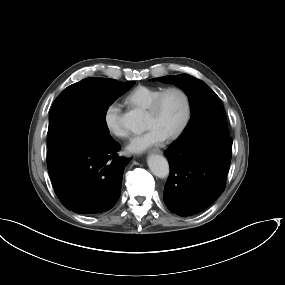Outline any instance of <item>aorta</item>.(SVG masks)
Listing matches in <instances>:
<instances>
[{"instance_id": "aorta-1", "label": "aorta", "mask_w": 285, "mask_h": 285, "mask_svg": "<svg viewBox=\"0 0 285 285\" xmlns=\"http://www.w3.org/2000/svg\"><path fill=\"white\" fill-rule=\"evenodd\" d=\"M120 123L128 130L138 131L143 125V114L138 110H131L121 116ZM148 167L158 178H166L170 172L168 161L161 155H151L148 158Z\"/></svg>"}]
</instances>
